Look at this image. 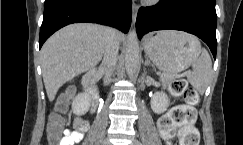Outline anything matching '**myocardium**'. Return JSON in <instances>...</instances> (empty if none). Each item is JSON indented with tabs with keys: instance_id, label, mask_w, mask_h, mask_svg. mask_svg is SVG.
Masks as SVG:
<instances>
[{
	"instance_id": "1",
	"label": "myocardium",
	"mask_w": 243,
	"mask_h": 145,
	"mask_svg": "<svg viewBox=\"0 0 243 145\" xmlns=\"http://www.w3.org/2000/svg\"><path fill=\"white\" fill-rule=\"evenodd\" d=\"M147 5H156L161 2V0H144Z\"/></svg>"
}]
</instances>
